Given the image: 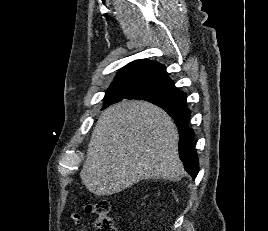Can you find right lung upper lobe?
<instances>
[{
    "mask_svg": "<svg viewBox=\"0 0 268 231\" xmlns=\"http://www.w3.org/2000/svg\"><path fill=\"white\" fill-rule=\"evenodd\" d=\"M143 83H160L175 88L174 83L168 77L165 67L159 63L146 59L133 61L123 67L117 74L110 88L128 89ZM123 98L137 99L130 92H126L107 100L105 102V105H110L119 102ZM147 101L152 102L160 107L179 106L173 105L166 101H158L151 99H147Z\"/></svg>",
    "mask_w": 268,
    "mask_h": 231,
    "instance_id": "obj_1",
    "label": "right lung upper lobe"
}]
</instances>
